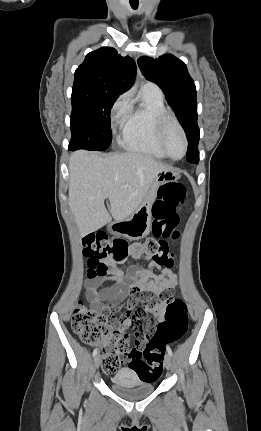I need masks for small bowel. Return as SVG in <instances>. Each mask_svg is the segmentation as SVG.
Masks as SVG:
<instances>
[{
	"label": "small bowel",
	"mask_w": 261,
	"mask_h": 431,
	"mask_svg": "<svg viewBox=\"0 0 261 431\" xmlns=\"http://www.w3.org/2000/svg\"><path fill=\"white\" fill-rule=\"evenodd\" d=\"M150 261L151 258H143ZM107 271L104 275L97 276L87 272V279L84 287L86 298L91 305V309L96 313H101L107 308V304L114 306L107 312V317L116 319L119 316L117 303L126 305V312H121V319L118 330L126 333L131 330L134 336L135 349L140 350L145 347L150 337L154 336L156 327L152 323L154 320L160 322L165 316V304L156 303L159 295L165 290L171 289L178 284V277L172 271V265H161L155 261H150L147 268L131 266L127 272H123L112 261L105 262ZM164 267L161 274L156 275L155 269ZM107 282H112L110 287H104Z\"/></svg>",
	"instance_id": "c3829d8e"
}]
</instances>
